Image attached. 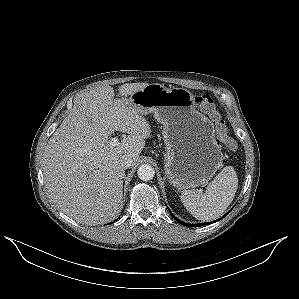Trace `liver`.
Listing matches in <instances>:
<instances>
[{"mask_svg": "<svg viewBox=\"0 0 299 299\" xmlns=\"http://www.w3.org/2000/svg\"><path fill=\"white\" fill-rule=\"evenodd\" d=\"M148 83L111 86L78 94L74 106L45 148L42 165L52 201L79 223L98 225L114 220L123 208L120 159L138 160L150 136V126L127 95ZM114 131L128 133L116 147L109 145Z\"/></svg>", "mask_w": 299, "mask_h": 299, "instance_id": "obj_1", "label": "liver"}]
</instances>
